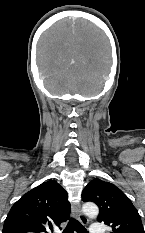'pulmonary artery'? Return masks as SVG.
I'll use <instances>...</instances> for the list:
<instances>
[{"instance_id": "1", "label": "pulmonary artery", "mask_w": 145, "mask_h": 233, "mask_svg": "<svg viewBox=\"0 0 145 233\" xmlns=\"http://www.w3.org/2000/svg\"><path fill=\"white\" fill-rule=\"evenodd\" d=\"M89 230L90 233H106L103 224L99 222L92 224Z\"/></svg>"}]
</instances>
